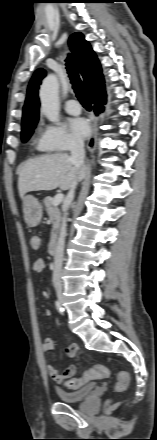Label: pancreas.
I'll use <instances>...</instances> for the list:
<instances>
[{"instance_id":"cf45deb5","label":"pancreas","mask_w":157,"mask_h":440,"mask_svg":"<svg viewBox=\"0 0 157 440\" xmlns=\"http://www.w3.org/2000/svg\"><path fill=\"white\" fill-rule=\"evenodd\" d=\"M53 198L48 196L44 199V205L46 207V211L52 221V231H51V242H53L58 233V229L61 221V213L57 206L53 204Z\"/></svg>"}]
</instances>
